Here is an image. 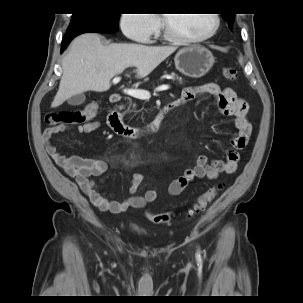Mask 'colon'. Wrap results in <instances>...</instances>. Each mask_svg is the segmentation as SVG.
Returning <instances> with one entry per match:
<instances>
[{
	"mask_svg": "<svg viewBox=\"0 0 303 303\" xmlns=\"http://www.w3.org/2000/svg\"><path fill=\"white\" fill-rule=\"evenodd\" d=\"M223 75L228 80H236L238 77L237 70L232 67L223 68ZM99 105L97 101H92L81 110H61L49 111L45 115V123L49 126L58 124H80L90 122L95 116ZM220 186L211 187L200 195L187 211V216L191 217L203 212L207 206L214 200ZM147 218L156 224L166 223L170 219L169 213H147Z\"/></svg>",
	"mask_w": 303,
	"mask_h": 303,
	"instance_id": "5ec220e1",
	"label": "colon"
}]
</instances>
